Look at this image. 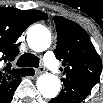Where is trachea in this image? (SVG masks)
Wrapping results in <instances>:
<instances>
[{
    "instance_id": "trachea-1",
    "label": "trachea",
    "mask_w": 103,
    "mask_h": 103,
    "mask_svg": "<svg viewBox=\"0 0 103 103\" xmlns=\"http://www.w3.org/2000/svg\"><path fill=\"white\" fill-rule=\"evenodd\" d=\"M19 67H39V59L31 53H24L17 61Z\"/></svg>"
}]
</instances>
